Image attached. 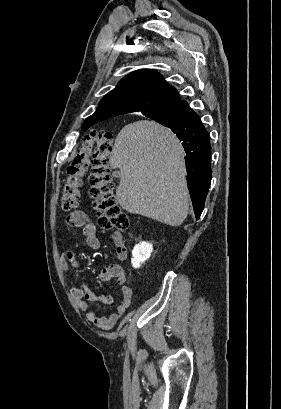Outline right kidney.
<instances>
[{"label": "right kidney", "instance_id": "ca27d5eb", "mask_svg": "<svg viewBox=\"0 0 281 409\" xmlns=\"http://www.w3.org/2000/svg\"><path fill=\"white\" fill-rule=\"evenodd\" d=\"M133 251H153L151 243H146V241H141L139 245H135Z\"/></svg>", "mask_w": 281, "mask_h": 409}]
</instances>
